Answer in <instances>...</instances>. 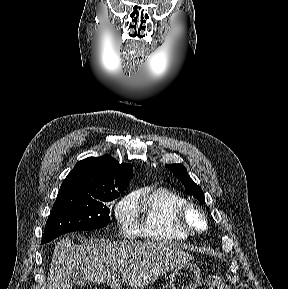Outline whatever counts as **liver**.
Instances as JSON below:
<instances>
[{"mask_svg":"<svg viewBox=\"0 0 288 289\" xmlns=\"http://www.w3.org/2000/svg\"><path fill=\"white\" fill-rule=\"evenodd\" d=\"M192 256L168 242L89 241L75 245L69 238L54 249L47 289H72L71 276L78 272L94 284L142 289L159 277L192 260Z\"/></svg>","mask_w":288,"mask_h":289,"instance_id":"liver-1","label":"liver"}]
</instances>
